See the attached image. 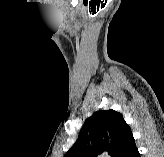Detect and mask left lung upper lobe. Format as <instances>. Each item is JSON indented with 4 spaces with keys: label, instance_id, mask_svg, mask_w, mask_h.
I'll return each instance as SVG.
<instances>
[{
    "label": "left lung upper lobe",
    "instance_id": "obj_1",
    "mask_svg": "<svg viewBox=\"0 0 164 157\" xmlns=\"http://www.w3.org/2000/svg\"><path fill=\"white\" fill-rule=\"evenodd\" d=\"M132 136L121 113L97 111L86 120L76 143L64 157H97L103 152L115 157Z\"/></svg>",
    "mask_w": 164,
    "mask_h": 157
}]
</instances>
